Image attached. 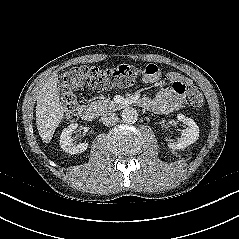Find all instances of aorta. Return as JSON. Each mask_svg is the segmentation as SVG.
Segmentation results:
<instances>
[{
	"instance_id": "aorta-1",
	"label": "aorta",
	"mask_w": 239,
	"mask_h": 239,
	"mask_svg": "<svg viewBox=\"0 0 239 239\" xmlns=\"http://www.w3.org/2000/svg\"><path fill=\"white\" fill-rule=\"evenodd\" d=\"M121 116L123 122L128 124H133L138 120V113L134 108H125Z\"/></svg>"
}]
</instances>
